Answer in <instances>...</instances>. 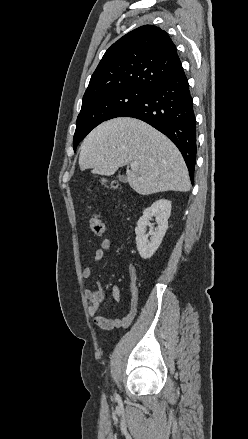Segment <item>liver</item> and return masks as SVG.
Wrapping results in <instances>:
<instances>
[{"mask_svg": "<svg viewBox=\"0 0 248 439\" xmlns=\"http://www.w3.org/2000/svg\"><path fill=\"white\" fill-rule=\"evenodd\" d=\"M136 162L126 171L130 187L141 195L190 190L184 159L162 133L138 119L118 117L92 130L80 147L81 171L113 175L119 167Z\"/></svg>", "mask_w": 248, "mask_h": 439, "instance_id": "6515ba94", "label": "liver"}]
</instances>
